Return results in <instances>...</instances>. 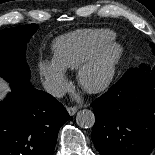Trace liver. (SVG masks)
Here are the masks:
<instances>
[{
  "label": "liver",
  "instance_id": "1",
  "mask_svg": "<svg viewBox=\"0 0 155 155\" xmlns=\"http://www.w3.org/2000/svg\"><path fill=\"white\" fill-rule=\"evenodd\" d=\"M3 91H8V88L6 85H2L0 81V99L3 97Z\"/></svg>",
  "mask_w": 155,
  "mask_h": 155
}]
</instances>
